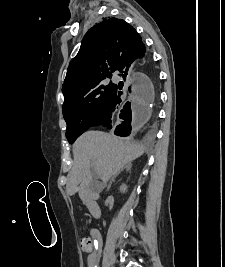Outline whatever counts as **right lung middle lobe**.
Returning a JSON list of instances; mask_svg holds the SVG:
<instances>
[{"label": "right lung middle lobe", "instance_id": "right-lung-middle-lobe-1", "mask_svg": "<svg viewBox=\"0 0 225 267\" xmlns=\"http://www.w3.org/2000/svg\"><path fill=\"white\" fill-rule=\"evenodd\" d=\"M116 87L117 85L108 83L104 78L88 83L64 97L63 116L67 123L66 136L70 143L92 127L107 108Z\"/></svg>", "mask_w": 225, "mask_h": 267}]
</instances>
